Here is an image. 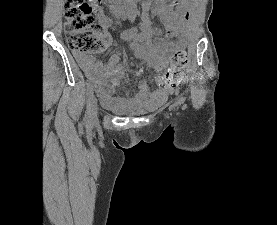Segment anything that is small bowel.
Masks as SVG:
<instances>
[{"label":"small bowel","instance_id":"1","mask_svg":"<svg viewBox=\"0 0 277 225\" xmlns=\"http://www.w3.org/2000/svg\"><path fill=\"white\" fill-rule=\"evenodd\" d=\"M155 3L154 12L159 17L161 23L166 29V34L161 28L153 26L148 11L152 4ZM142 21L140 25L141 32L138 33V28H131L121 34L123 41L129 42L133 53L140 58H147L154 71L160 73L163 71L167 57L170 52V37L177 30L178 19H188L189 14L180 5L176 10L164 3V0H145L142 5ZM95 11L102 27L101 36L105 40L107 47H111L112 39L109 33L111 28L110 19L104 14L102 8L95 7ZM77 61L89 78L92 87L99 93L105 95L106 87L117 81L118 76L122 71V66L119 63V57L112 55L104 64L93 56L77 54ZM159 86L150 91L146 84H142L139 89L137 99L142 102L152 104L162 103L167 96L175 90L173 83H170L166 78H158Z\"/></svg>","mask_w":277,"mask_h":225}]
</instances>
